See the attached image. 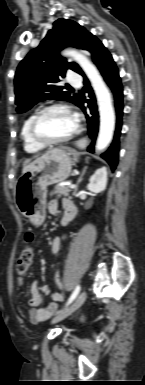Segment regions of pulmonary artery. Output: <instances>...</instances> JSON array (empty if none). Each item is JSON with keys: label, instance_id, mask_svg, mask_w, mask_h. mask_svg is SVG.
<instances>
[{"label": "pulmonary artery", "instance_id": "obj_1", "mask_svg": "<svg viewBox=\"0 0 145 385\" xmlns=\"http://www.w3.org/2000/svg\"><path fill=\"white\" fill-rule=\"evenodd\" d=\"M68 82L71 85H79L81 83V78L78 75H70L68 78Z\"/></svg>", "mask_w": 145, "mask_h": 385}]
</instances>
